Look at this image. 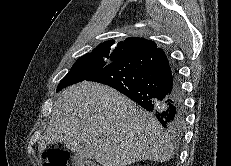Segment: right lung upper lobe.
<instances>
[{"label": "right lung upper lobe", "mask_w": 231, "mask_h": 166, "mask_svg": "<svg viewBox=\"0 0 231 166\" xmlns=\"http://www.w3.org/2000/svg\"><path fill=\"white\" fill-rule=\"evenodd\" d=\"M157 48L155 42L139 37H129L124 41L116 43L114 40H109L99 44L93 51L99 53H107L117 57L118 60L128 56L140 55L153 51Z\"/></svg>", "instance_id": "1"}]
</instances>
